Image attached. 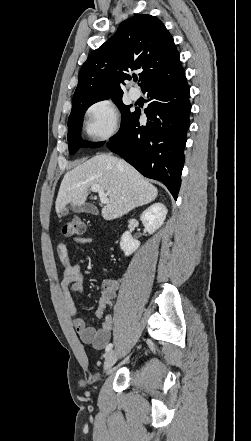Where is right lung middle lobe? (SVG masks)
<instances>
[{
    "mask_svg": "<svg viewBox=\"0 0 251 441\" xmlns=\"http://www.w3.org/2000/svg\"><path fill=\"white\" fill-rule=\"evenodd\" d=\"M108 98L109 97L106 98L86 97L73 101L72 111L68 119V145H69L70 154H74L79 148H84V147L96 148L104 144V142L92 143V142L83 141L80 135V131L83 124V116L86 110L92 104ZM111 99L121 111L122 114L121 127H122L132 114L129 110L130 106H126L123 104L122 96H113L111 97Z\"/></svg>",
    "mask_w": 251,
    "mask_h": 441,
    "instance_id": "obj_1",
    "label": "right lung middle lobe"
}]
</instances>
